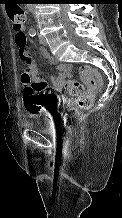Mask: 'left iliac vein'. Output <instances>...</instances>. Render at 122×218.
Wrapping results in <instances>:
<instances>
[{
	"label": "left iliac vein",
	"mask_w": 122,
	"mask_h": 218,
	"mask_svg": "<svg viewBox=\"0 0 122 218\" xmlns=\"http://www.w3.org/2000/svg\"><path fill=\"white\" fill-rule=\"evenodd\" d=\"M39 41H40V43H41L43 46H47V41H46L45 38L39 36Z\"/></svg>",
	"instance_id": "1"
}]
</instances>
